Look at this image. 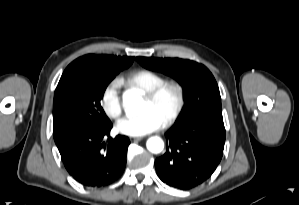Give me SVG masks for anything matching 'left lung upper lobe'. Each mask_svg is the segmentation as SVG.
Masks as SVG:
<instances>
[{
    "mask_svg": "<svg viewBox=\"0 0 299 205\" xmlns=\"http://www.w3.org/2000/svg\"><path fill=\"white\" fill-rule=\"evenodd\" d=\"M136 59L145 68L167 74L183 86L186 101L176 121H193L222 112L218 85L204 65L179 58Z\"/></svg>",
    "mask_w": 299,
    "mask_h": 205,
    "instance_id": "obj_1",
    "label": "left lung upper lobe"
}]
</instances>
